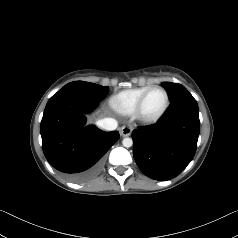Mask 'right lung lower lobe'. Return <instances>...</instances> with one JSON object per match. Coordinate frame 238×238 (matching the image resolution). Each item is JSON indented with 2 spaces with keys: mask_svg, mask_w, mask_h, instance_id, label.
Here are the masks:
<instances>
[{
  "mask_svg": "<svg viewBox=\"0 0 238 238\" xmlns=\"http://www.w3.org/2000/svg\"><path fill=\"white\" fill-rule=\"evenodd\" d=\"M100 100L69 88L54 94L44 110L41 121L44 155L73 182L93 178L101 168L103 155L119 139L118 132L85 126V114Z\"/></svg>",
  "mask_w": 238,
  "mask_h": 238,
  "instance_id": "1",
  "label": "right lung lower lobe"
}]
</instances>
